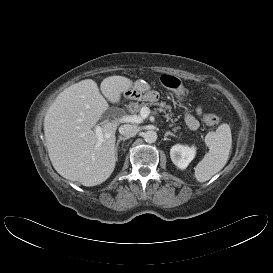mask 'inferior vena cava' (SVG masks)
Wrapping results in <instances>:
<instances>
[{
  "instance_id": "inferior-vena-cava-1",
  "label": "inferior vena cava",
  "mask_w": 273,
  "mask_h": 273,
  "mask_svg": "<svg viewBox=\"0 0 273 273\" xmlns=\"http://www.w3.org/2000/svg\"><path fill=\"white\" fill-rule=\"evenodd\" d=\"M138 128L133 125L125 124L120 126L119 133L125 137H133L137 134Z\"/></svg>"
}]
</instances>
